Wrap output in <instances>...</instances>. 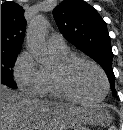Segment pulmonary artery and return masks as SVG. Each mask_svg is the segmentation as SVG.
<instances>
[{"mask_svg": "<svg viewBox=\"0 0 123 130\" xmlns=\"http://www.w3.org/2000/svg\"><path fill=\"white\" fill-rule=\"evenodd\" d=\"M48 45L52 49L56 50H65L67 49V45L65 40L61 34L52 33L48 38Z\"/></svg>", "mask_w": 123, "mask_h": 130, "instance_id": "obj_1", "label": "pulmonary artery"}]
</instances>
